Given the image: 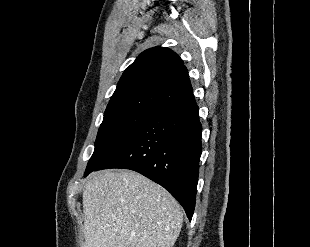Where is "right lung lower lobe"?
<instances>
[{"mask_svg":"<svg viewBox=\"0 0 310 247\" xmlns=\"http://www.w3.org/2000/svg\"><path fill=\"white\" fill-rule=\"evenodd\" d=\"M201 134L199 109L191 95L155 114L93 171L123 168L141 173L167 189L191 220L202 153Z\"/></svg>","mask_w":310,"mask_h":247,"instance_id":"98d812e1","label":"right lung lower lobe"}]
</instances>
